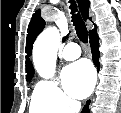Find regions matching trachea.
I'll return each instance as SVG.
<instances>
[{"mask_svg":"<svg viewBox=\"0 0 121 113\" xmlns=\"http://www.w3.org/2000/svg\"><path fill=\"white\" fill-rule=\"evenodd\" d=\"M70 8L72 9L71 14H72V21L73 25L75 26L76 33L78 35V38L84 42H88V31L86 28V25L84 21L82 20L81 16L79 13L75 14L76 10V5L71 4Z\"/></svg>","mask_w":121,"mask_h":113,"instance_id":"obj_1","label":"trachea"}]
</instances>
